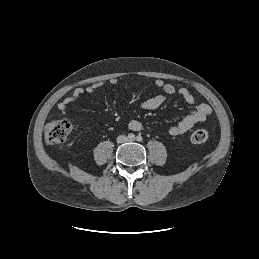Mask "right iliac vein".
<instances>
[{"instance_id":"63e3f726","label":"right iliac vein","mask_w":259,"mask_h":259,"mask_svg":"<svg viewBox=\"0 0 259 259\" xmlns=\"http://www.w3.org/2000/svg\"><path fill=\"white\" fill-rule=\"evenodd\" d=\"M121 141H124V138H121Z\"/></svg>"}]
</instances>
